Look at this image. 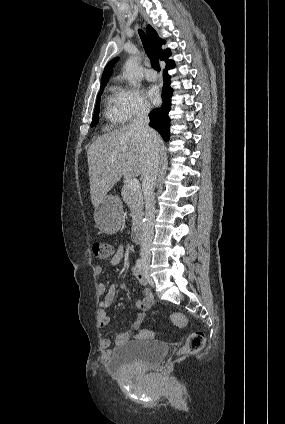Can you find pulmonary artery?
<instances>
[{
	"instance_id": "1",
	"label": "pulmonary artery",
	"mask_w": 285,
	"mask_h": 424,
	"mask_svg": "<svg viewBox=\"0 0 285 424\" xmlns=\"http://www.w3.org/2000/svg\"><path fill=\"white\" fill-rule=\"evenodd\" d=\"M145 78L149 81H156L158 76L154 70L148 69L145 73Z\"/></svg>"
}]
</instances>
